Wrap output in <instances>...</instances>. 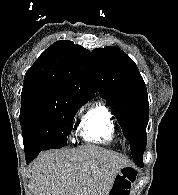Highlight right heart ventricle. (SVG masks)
I'll return each mask as SVG.
<instances>
[{
  "mask_svg": "<svg viewBox=\"0 0 178 195\" xmlns=\"http://www.w3.org/2000/svg\"><path fill=\"white\" fill-rule=\"evenodd\" d=\"M79 133L87 142L107 146H115L120 140L113 113L100 102L85 111L79 124Z\"/></svg>",
  "mask_w": 178,
  "mask_h": 195,
  "instance_id": "1",
  "label": "right heart ventricle"
}]
</instances>
